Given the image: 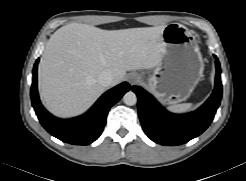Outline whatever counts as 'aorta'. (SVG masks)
Wrapping results in <instances>:
<instances>
[{
  "mask_svg": "<svg viewBox=\"0 0 246 181\" xmlns=\"http://www.w3.org/2000/svg\"><path fill=\"white\" fill-rule=\"evenodd\" d=\"M123 101L128 106H133L137 103V96L134 92L129 91L123 96Z\"/></svg>",
  "mask_w": 246,
  "mask_h": 181,
  "instance_id": "obj_1",
  "label": "aorta"
}]
</instances>
